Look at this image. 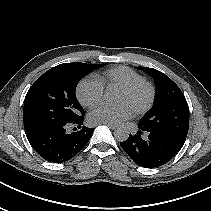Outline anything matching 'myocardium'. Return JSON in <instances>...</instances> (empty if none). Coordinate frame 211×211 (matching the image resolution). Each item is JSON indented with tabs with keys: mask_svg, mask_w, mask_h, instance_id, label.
<instances>
[{
	"mask_svg": "<svg viewBox=\"0 0 211 211\" xmlns=\"http://www.w3.org/2000/svg\"><path fill=\"white\" fill-rule=\"evenodd\" d=\"M141 88H146L148 90V98L143 104L132 108V111L136 114L146 113L153 107L156 99L155 86L150 81L142 79L120 87V90L127 94H133Z\"/></svg>",
	"mask_w": 211,
	"mask_h": 211,
	"instance_id": "1",
	"label": "myocardium"
}]
</instances>
